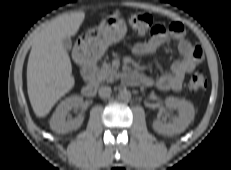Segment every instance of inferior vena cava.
<instances>
[{"instance_id":"1","label":"inferior vena cava","mask_w":231,"mask_h":170,"mask_svg":"<svg viewBox=\"0 0 231 170\" xmlns=\"http://www.w3.org/2000/svg\"><path fill=\"white\" fill-rule=\"evenodd\" d=\"M111 92H112V90H111V87H109V86H102V87L99 88V91H98L99 96L101 98H108V97H110Z\"/></svg>"}]
</instances>
